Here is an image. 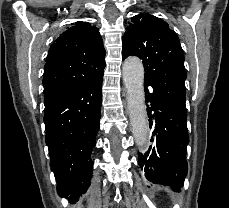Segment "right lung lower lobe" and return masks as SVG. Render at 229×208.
<instances>
[{"mask_svg":"<svg viewBox=\"0 0 229 208\" xmlns=\"http://www.w3.org/2000/svg\"><path fill=\"white\" fill-rule=\"evenodd\" d=\"M103 73L45 104L46 145L57 192L70 202L78 201L90 185L91 152L100 127Z\"/></svg>","mask_w":229,"mask_h":208,"instance_id":"1","label":"right lung lower lobe"}]
</instances>
